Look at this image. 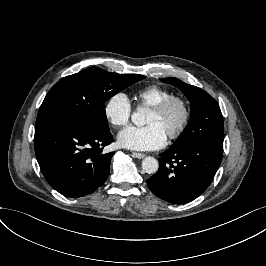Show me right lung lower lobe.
Wrapping results in <instances>:
<instances>
[{"label": "right lung lower lobe", "mask_w": 266, "mask_h": 266, "mask_svg": "<svg viewBox=\"0 0 266 266\" xmlns=\"http://www.w3.org/2000/svg\"><path fill=\"white\" fill-rule=\"evenodd\" d=\"M113 141L70 118L59 117L35 126L34 148L41 171L52 188L78 198L95 191L109 176L113 153H102Z\"/></svg>", "instance_id": "1"}]
</instances>
